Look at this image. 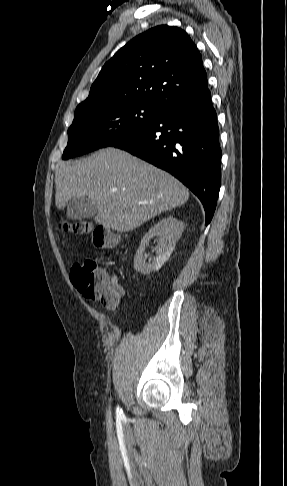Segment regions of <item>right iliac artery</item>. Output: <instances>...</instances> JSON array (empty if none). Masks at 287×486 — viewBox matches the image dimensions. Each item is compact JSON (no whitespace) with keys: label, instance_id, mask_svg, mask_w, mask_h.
<instances>
[{"label":"right iliac artery","instance_id":"82829eb1","mask_svg":"<svg viewBox=\"0 0 287 486\" xmlns=\"http://www.w3.org/2000/svg\"><path fill=\"white\" fill-rule=\"evenodd\" d=\"M116 413H117L118 416L123 415L122 409H120L119 407L117 408Z\"/></svg>","mask_w":287,"mask_h":486}]
</instances>
